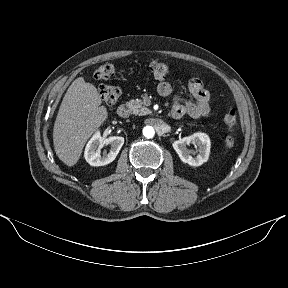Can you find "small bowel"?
<instances>
[{
  "label": "small bowel",
  "mask_w": 288,
  "mask_h": 288,
  "mask_svg": "<svg viewBox=\"0 0 288 288\" xmlns=\"http://www.w3.org/2000/svg\"><path fill=\"white\" fill-rule=\"evenodd\" d=\"M157 90L164 97L173 94V86L168 81H161L158 84ZM188 90L194 97V100L182 101L180 98H175L172 116L176 119L182 118L185 115L192 118L207 116L211 111V95L205 88L203 81L198 78L191 79L188 83Z\"/></svg>",
  "instance_id": "obj_1"
}]
</instances>
